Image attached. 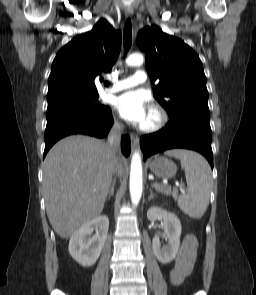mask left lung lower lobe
Segmentation results:
<instances>
[{
    "label": "left lung lower lobe",
    "instance_id": "0a47b994",
    "mask_svg": "<svg viewBox=\"0 0 256 295\" xmlns=\"http://www.w3.org/2000/svg\"><path fill=\"white\" fill-rule=\"evenodd\" d=\"M140 145L144 160L158 152L185 148L201 153L213 168L211 127L207 119L183 116L161 130L141 137Z\"/></svg>",
    "mask_w": 256,
    "mask_h": 295
}]
</instances>
